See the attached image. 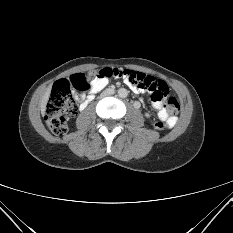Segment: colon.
<instances>
[{"label": "colon", "instance_id": "colon-1", "mask_svg": "<svg viewBox=\"0 0 233 233\" xmlns=\"http://www.w3.org/2000/svg\"><path fill=\"white\" fill-rule=\"evenodd\" d=\"M98 76L121 78L133 87L151 91L153 101L158 103L165 101L164 109L170 118H174L180 110L178 101L173 97H168V88L165 82L128 69L103 68L88 76L75 74L69 80L62 79L53 85L45 110V121L52 133L63 135L66 132L68 116L76 111L74 92L89 91L92 80ZM169 126L167 122L162 120L154 124L157 130H164Z\"/></svg>", "mask_w": 233, "mask_h": 233}]
</instances>
